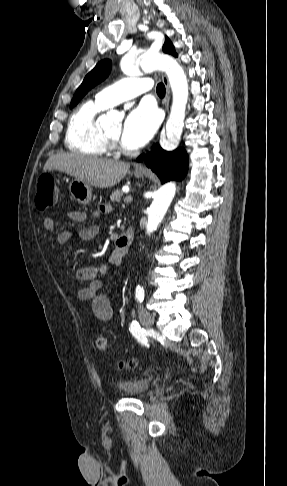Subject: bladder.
<instances>
[{
  "label": "bladder",
  "mask_w": 287,
  "mask_h": 486,
  "mask_svg": "<svg viewBox=\"0 0 287 486\" xmlns=\"http://www.w3.org/2000/svg\"><path fill=\"white\" fill-rule=\"evenodd\" d=\"M116 386L125 395L138 396L148 391L150 381L145 378L121 379L116 382Z\"/></svg>",
  "instance_id": "1"
}]
</instances>
